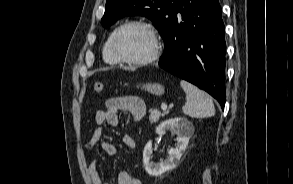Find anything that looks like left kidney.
Listing matches in <instances>:
<instances>
[{
	"mask_svg": "<svg viewBox=\"0 0 293 184\" xmlns=\"http://www.w3.org/2000/svg\"><path fill=\"white\" fill-rule=\"evenodd\" d=\"M166 130H172L177 134L175 147L169 150L168 159L160 163H153L151 161L152 141H149L144 148L143 164L150 176H160L176 167L188 145L189 139L194 133V126L183 117H175L162 122L156 128V133L163 135Z\"/></svg>",
	"mask_w": 293,
	"mask_h": 184,
	"instance_id": "5707ae66",
	"label": "left kidney"
}]
</instances>
